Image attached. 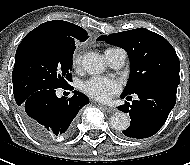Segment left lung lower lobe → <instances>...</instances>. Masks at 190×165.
Instances as JSON below:
<instances>
[{
  "instance_id": "1",
  "label": "left lung lower lobe",
  "mask_w": 190,
  "mask_h": 165,
  "mask_svg": "<svg viewBox=\"0 0 190 165\" xmlns=\"http://www.w3.org/2000/svg\"><path fill=\"white\" fill-rule=\"evenodd\" d=\"M177 86L176 83L157 81L135 91L138 100L118 107L119 110L129 113L131 118L130 127L122 133L137 139L148 138L157 133L176 103ZM125 96L128 95L122 94L121 98Z\"/></svg>"
}]
</instances>
